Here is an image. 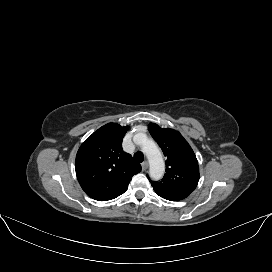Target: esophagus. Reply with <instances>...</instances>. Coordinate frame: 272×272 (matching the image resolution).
Segmentation results:
<instances>
[{"instance_id":"1","label":"esophagus","mask_w":272,"mask_h":272,"mask_svg":"<svg viewBox=\"0 0 272 272\" xmlns=\"http://www.w3.org/2000/svg\"><path fill=\"white\" fill-rule=\"evenodd\" d=\"M142 170L145 171L147 168H148V162L147 161H144L142 164Z\"/></svg>"}]
</instances>
